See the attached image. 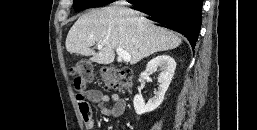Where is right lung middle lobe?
Wrapping results in <instances>:
<instances>
[{
  "label": "right lung middle lobe",
  "mask_w": 257,
  "mask_h": 130,
  "mask_svg": "<svg viewBox=\"0 0 257 130\" xmlns=\"http://www.w3.org/2000/svg\"><path fill=\"white\" fill-rule=\"evenodd\" d=\"M109 0H73L75 11L107 5Z\"/></svg>",
  "instance_id": "right-lung-middle-lobe-1"
}]
</instances>
